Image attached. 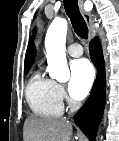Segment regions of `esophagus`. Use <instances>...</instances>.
I'll return each mask as SVG.
<instances>
[{"instance_id":"esophagus-1","label":"esophagus","mask_w":119,"mask_h":141,"mask_svg":"<svg viewBox=\"0 0 119 141\" xmlns=\"http://www.w3.org/2000/svg\"><path fill=\"white\" fill-rule=\"evenodd\" d=\"M79 3V8H80V11H81V14L85 20V22L87 23L88 25V28H89V40H93L94 37H95V29H94V18H93V15L89 12H86L83 8V0H79L78 1Z\"/></svg>"}]
</instances>
